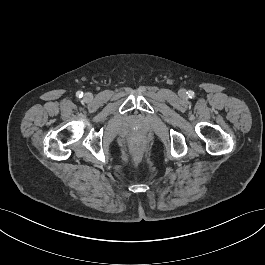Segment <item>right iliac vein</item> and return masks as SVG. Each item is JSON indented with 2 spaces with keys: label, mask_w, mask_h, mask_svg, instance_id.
Wrapping results in <instances>:
<instances>
[{
  "label": "right iliac vein",
  "mask_w": 265,
  "mask_h": 265,
  "mask_svg": "<svg viewBox=\"0 0 265 265\" xmlns=\"http://www.w3.org/2000/svg\"><path fill=\"white\" fill-rule=\"evenodd\" d=\"M86 101H91L92 100V95L90 93H86L84 96Z\"/></svg>",
  "instance_id": "1"
}]
</instances>
